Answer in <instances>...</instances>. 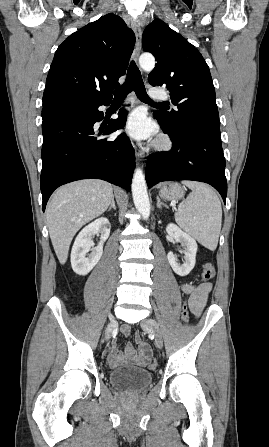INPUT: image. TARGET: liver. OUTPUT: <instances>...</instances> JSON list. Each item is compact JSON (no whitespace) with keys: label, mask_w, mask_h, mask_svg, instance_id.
Segmentation results:
<instances>
[{"label":"liver","mask_w":269,"mask_h":447,"mask_svg":"<svg viewBox=\"0 0 269 447\" xmlns=\"http://www.w3.org/2000/svg\"><path fill=\"white\" fill-rule=\"evenodd\" d=\"M113 186L102 180L66 184L53 194L46 210L49 235L60 263L68 257L78 229L106 212L112 204Z\"/></svg>","instance_id":"6515ba94"}]
</instances>
